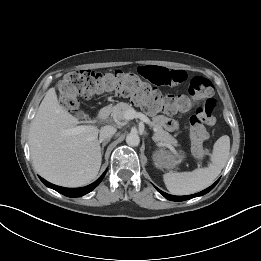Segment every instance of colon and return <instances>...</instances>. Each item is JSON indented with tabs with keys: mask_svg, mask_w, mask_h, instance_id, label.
I'll list each match as a JSON object with an SVG mask.
<instances>
[{
	"mask_svg": "<svg viewBox=\"0 0 261 261\" xmlns=\"http://www.w3.org/2000/svg\"><path fill=\"white\" fill-rule=\"evenodd\" d=\"M60 104L69 111H76L79 98L90 99L102 94H116L131 98L148 112L175 114L195 107L190 118V138L194 155L201 159L208 154L203 145L206 126L216 123L214 116V87L202 76L193 77L189 82L188 95L162 94L132 72L115 70L99 72L77 70L66 74L58 84Z\"/></svg>",
	"mask_w": 261,
	"mask_h": 261,
	"instance_id": "colon-1",
	"label": "colon"
}]
</instances>
